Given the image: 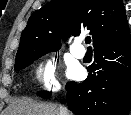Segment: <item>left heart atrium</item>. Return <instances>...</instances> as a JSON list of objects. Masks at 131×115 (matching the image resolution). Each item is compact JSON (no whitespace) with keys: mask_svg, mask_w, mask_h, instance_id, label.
Returning a JSON list of instances; mask_svg holds the SVG:
<instances>
[{"mask_svg":"<svg viewBox=\"0 0 131 115\" xmlns=\"http://www.w3.org/2000/svg\"><path fill=\"white\" fill-rule=\"evenodd\" d=\"M79 73H80V71H79L78 68H72V69L70 70V75H71L72 77H77V76L79 75Z\"/></svg>","mask_w":131,"mask_h":115,"instance_id":"left-heart-atrium-1","label":"left heart atrium"}]
</instances>
